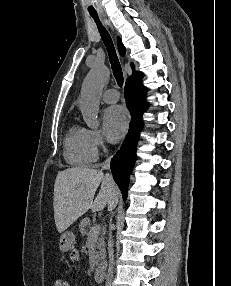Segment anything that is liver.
<instances>
[{
    "label": "liver",
    "instance_id": "obj_1",
    "mask_svg": "<svg viewBox=\"0 0 231 286\" xmlns=\"http://www.w3.org/2000/svg\"><path fill=\"white\" fill-rule=\"evenodd\" d=\"M99 194L94 199L99 185ZM119 191L113 180L92 168H68L57 174L54 184L53 208L56 228L65 231L89 209L101 211L118 203Z\"/></svg>",
    "mask_w": 231,
    "mask_h": 286
}]
</instances>
